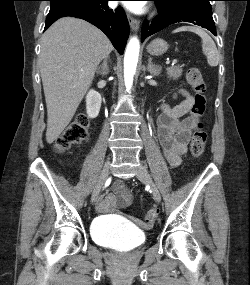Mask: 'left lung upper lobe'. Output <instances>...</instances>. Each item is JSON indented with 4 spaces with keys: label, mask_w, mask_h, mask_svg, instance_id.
Listing matches in <instances>:
<instances>
[{
    "label": "left lung upper lobe",
    "mask_w": 250,
    "mask_h": 285,
    "mask_svg": "<svg viewBox=\"0 0 250 285\" xmlns=\"http://www.w3.org/2000/svg\"><path fill=\"white\" fill-rule=\"evenodd\" d=\"M165 12L175 11L184 6L196 5L206 9H211V0H155Z\"/></svg>",
    "instance_id": "5c2ea615"
}]
</instances>
